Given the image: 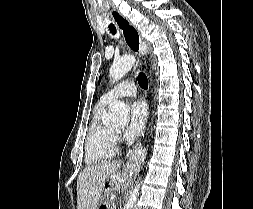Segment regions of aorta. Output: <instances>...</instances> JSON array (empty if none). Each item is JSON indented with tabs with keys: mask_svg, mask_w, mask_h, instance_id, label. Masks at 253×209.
Masks as SVG:
<instances>
[{
	"mask_svg": "<svg viewBox=\"0 0 253 209\" xmlns=\"http://www.w3.org/2000/svg\"><path fill=\"white\" fill-rule=\"evenodd\" d=\"M135 58L133 55H125L115 61L109 70L110 78L113 81L122 79L133 67ZM129 108L126 104L120 101H114L110 106L107 116V124L114 126H124L128 122ZM140 184L137 182L133 191L130 194L129 200L124 209H134L137 197L139 196Z\"/></svg>",
	"mask_w": 253,
	"mask_h": 209,
	"instance_id": "obj_1",
	"label": "aorta"
}]
</instances>
